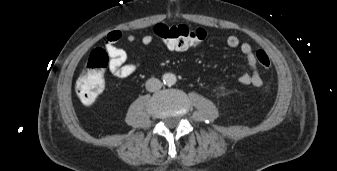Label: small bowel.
<instances>
[{"mask_svg":"<svg viewBox=\"0 0 337 171\" xmlns=\"http://www.w3.org/2000/svg\"><path fill=\"white\" fill-rule=\"evenodd\" d=\"M125 40L128 43H135L137 37L133 34L124 35L120 31L110 32L105 39V48L109 55V71L117 78L125 79L133 76L138 70V64L127 62V52L117 46L116 44ZM153 43V37L149 34L142 36L141 44L150 46ZM226 43L231 48H240L244 55L249 72L243 73L239 77V82L243 85H252L254 87H261L263 80L257 70V60L253 53V48L249 43H242L237 36L231 35L227 38Z\"/></svg>","mask_w":337,"mask_h":171,"instance_id":"obj_1","label":"small bowel"}]
</instances>
